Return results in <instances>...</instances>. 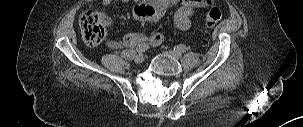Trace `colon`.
Here are the masks:
<instances>
[{"label": "colon", "mask_w": 303, "mask_h": 127, "mask_svg": "<svg viewBox=\"0 0 303 127\" xmlns=\"http://www.w3.org/2000/svg\"><path fill=\"white\" fill-rule=\"evenodd\" d=\"M144 14H150L149 8H146ZM221 17V10L218 7H212L206 14L205 27L207 29L214 28L221 20ZM79 27L83 40L87 45H99L106 37V30L95 12L86 11L81 14Z\"/></svg>", "instance_id": "5ec220e1"}]
</instances>
